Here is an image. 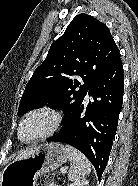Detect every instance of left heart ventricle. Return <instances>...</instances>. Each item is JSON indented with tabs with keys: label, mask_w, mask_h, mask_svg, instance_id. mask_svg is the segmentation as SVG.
Returning <instances> with one entry per match:
<instances>
[{
	"label": "left heart ventricle",
	"mask_w": 138,
	"mask_h": 186,
	"mask_svg": "<svg viewBox=\"0 0 138 186\" xmlns=\"http://www.w3.org/2000/svg\"><path fill=\"white\" fill-rule=\"evenodd\" d=\"M53 124V118L48 113H37L30 116L21 129L22 139H31L46 132Z\"/></svg>",
	"instance_id": "1"
}]
</instances>
